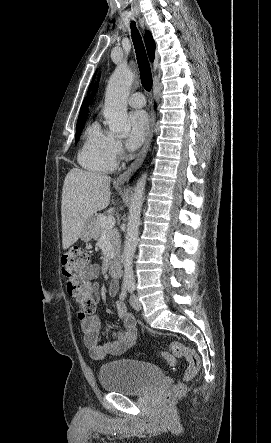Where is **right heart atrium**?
<instances>
[{
  "instance_id": "d8ad5b80",
  "label": "right heart atrium",
  "mask_w": 271,
  "mask_h": 443,
  "mask_svg": "<svg viewBox=\"0 0 271 443\" xmlns=\"http://www.w3.org/2000/svg\"><path fill=\"white\" fill-rule=\"evenodd\" d=\"M112 152L115 157L121 156L123 153V142L120 139L114 138L112 143Z\"/></svg>"
}]
</instances>
